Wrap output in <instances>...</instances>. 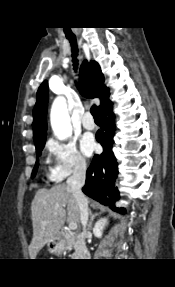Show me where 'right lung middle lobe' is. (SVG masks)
<instances>
[{
  "mask_svg": "<svg viewBox=\"0 0 175 287\" xmlns=\"http://www.w3.org/2000/svg\"><path fill=\"white\" fill-rule=\"evenodd\" d=\"M44 145H45V140L35 144L37 156H40V155H41V151H42ZM37 168H38V159H37V162H36L35 167H34V169H33L32 177L35 176V174H36V172H37Z\"/></svg>",
  "mask_w": 175,
  "mask_h": 287,
  "instance_id": "1",
  "label": "right lung middle lobe"
}]
</instances>
